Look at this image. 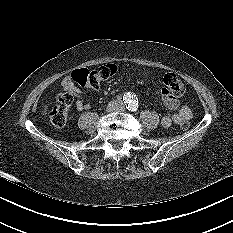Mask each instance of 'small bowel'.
I'll return each mask as SVG.
<instances>
[{"label":"small bowel","mask_w":233,"mask_h":233,"mask_svg":"<svg viewBox=\"0 0 233 233\" xmlns=\"http://www.w3.org/2000/svg\"><path fill=\"white\" fill-rule=\"evenodd\" d=\"M61 85L66 93L75 98V108L77 110L81 111L90 108V105L85 102L84 92L74 85L70 77H65ZM162 99L166 107L170 111H174V114L162 117L161 124L164 128L181 125V123L192 118L191 109L187 105H181L177 98L170 96L164 90H162Z\"/></svg>","instance_id":"obj_1"}]
</instances>
